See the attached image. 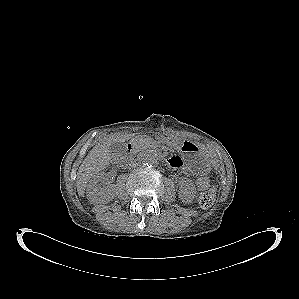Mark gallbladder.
<instances>
[{"label":"gallbladder","instance_id":"bac80fb5","mask_svg":"<svg viewBox=\"0 0 299 299\" xmlns=\"http://www.w3.org/2000/svg\"><path fill=\"white\" fill-rule=\"evenodd\" d=\"M110 152L112 154H123L125 152V144L124 143H113L110 147Z\"/></svg>","mask_w":299,"mask_h":299}]
</instances>
